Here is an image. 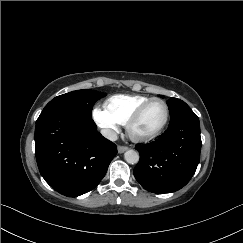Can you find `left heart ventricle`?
I'll return each mask as SVG.
<instances>
[{"instance_id":"obj_1","label":"left heart ventricle","mask_w":243,"mask_h":243,"mask_svg":"<svg viewBox=\"0 0 243 243\" xmlns=\"http://www.w3.org/2000/svg\"><path fill=\"white\" fill-rule=\"evenodd\" d=\"M165 106L161 102L151 104L143 113L140 120L134 124L132 132L138 136L154 133L162 125L165 118Z\"/></svg>"}]
</instances>
